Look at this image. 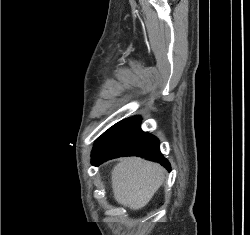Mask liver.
Instances as JSON below:
<instances>
[{"label": "liver", "instance_id": "6515ba94", "mask_svg": "<svg viewBox=\"0 0 250 235\" xmlns=\"http://www.w3.org/2000/svg\"><path fill=\"white\" fill-rule=\"evenodd\" d=\"M164 179V169L140 158H124L111 174L112 190L118 204L132 210L147 205Z\"/></svg>", "mask_w": 250, "mask_h": 235}]
</instances>
